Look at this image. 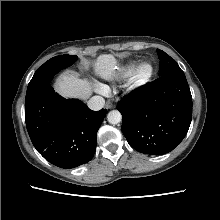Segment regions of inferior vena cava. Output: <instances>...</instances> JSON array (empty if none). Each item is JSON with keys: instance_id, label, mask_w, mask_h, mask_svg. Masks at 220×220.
Listing matches in <instances>:
<instances>
[{"instance_id": "602c4592", "label": "inferior vena cava", "mask_w": 220, "mask_h": 220, "mask_svg": "<svg viewBox=\"0 0 220 220\" xmlns=\"http://www.w3.org/2000/svg\"><path fill=\"white\" fill-rule=\"evenodd\" d=\"M87 105L91 110L97 111L104 107L105 100L101 96H93L92 98H90Z\"/></svg>"}]
</instances>
